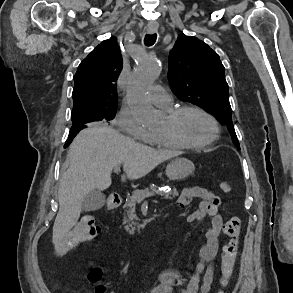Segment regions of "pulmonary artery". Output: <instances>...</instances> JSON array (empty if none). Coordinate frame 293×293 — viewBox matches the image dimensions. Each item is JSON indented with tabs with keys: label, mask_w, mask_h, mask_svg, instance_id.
<instances>
[{
	"label": "pulmonary artery",
	"mask_w": 293,
	"mask_h": 293,
	"mask_svg": "<svg viewBox=\"0 0 293 293\" xmlns=\"http://www.w3.org/2000/svg\"><path fill=\"white\" fill-rule=\"evenodd\" d=\"M151 102L161 108L168 109L172 103V96L161 85L151 87L149 94Z\"/></svg>",
	"instance_id": "pulmonary-artery-1"
}]
</instances>
